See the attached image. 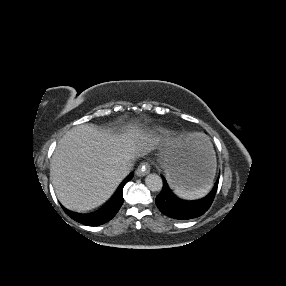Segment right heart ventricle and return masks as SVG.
<instances>
[{"instance_id":"e07e8e85","label":"right heart ventricle","mask_w":286,"mask_h":286,"mask_svg":"<svg viewBox=\"0 0 286 286\" xmlns=\"http://www.w3.org/2000/svg\"><path fill=\"white\" fill-rule=\"evenodd\" d=\"M153 132L161 136H168L171 134L170 130L163 127H156L153 129Z\"/></svg>"}]
</instances>
